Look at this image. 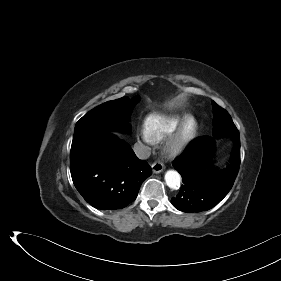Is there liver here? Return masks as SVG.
<instances>
[{"label":"liver","instance_id":"1","mask_svg":"<svg viewBox=\"0 0 281 281\" xmlns=\"http://www.w3.org/2000/svg\"><path fill=\"white\" fill-rule=\"evenodd\" d=\"M182 98H183L182 95H180V96L174 98V99L172 100V102L170 103V106H174L175 104H178V103L182 100Z\"/></svg>","mask_w":281,"mask_h":281}]
</instances>
